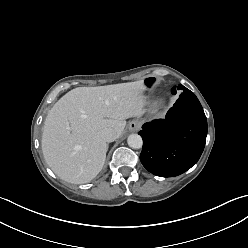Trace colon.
<instances>
[{
	"mask_svg": "<svg viewBox=\"0 0 248 248\" xmlns=\"http://www.w3.org/2000/svg\"><path fill=\"white\" fill-rule=\"evenodd\" d=\"M159 84V79L156 76H151L143 80L138 87V96L140 98L139 108L142 111H147L150 108L151 92L150 90Z\"/></svg>",
	"mask_w": 248,
	"mask_h": 248,
	"instance_id": "5ec220e1",
	"label": "colon"
}]
</instances>
